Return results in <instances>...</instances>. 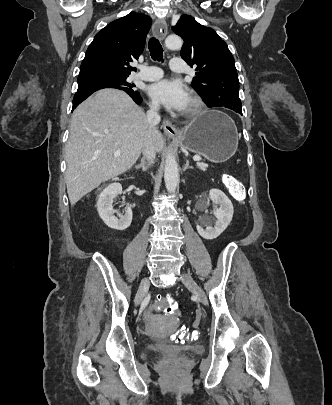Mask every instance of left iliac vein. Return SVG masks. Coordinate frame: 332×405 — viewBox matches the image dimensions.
Segmentation results:
<instances>
[{
	"label": "left iliac vein",
	"mask_w": 332,
	"mask_h": 405,
	"mask_svg": "<svg viewBox=\"0 0 332 405\" xmlns=\"http://www.w3.org/2000/svg\"><path fill=\"white\" fill-rule=\"evenodd\" d=\"M183 284L193 293L196 299L204 305L208 304L207 297L201 287L196 283L192 276L188 273H183L181 276Z\"/></svg>",
	"instance_id": "left-iliac-vein-1"
}]
</instances>
